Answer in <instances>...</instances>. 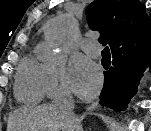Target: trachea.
Instances as JSON below:
<instances>
[{"label":"trachea","mask_w":151,"mask_h":131,"mask_svg":"<svg viewBox=\"0 0 151 131\" xmlns=\"http://www.w3.org/2000/svg\"><path fill=\"white\" fill-rule=\"evenodd\" d=\"M102 60L106 61V62L111 61V54H110V50L108 47H105L102 51Z\"/></svg>","instance_id":"3493384b"}]
</instances>
